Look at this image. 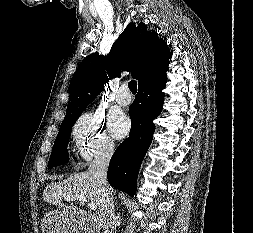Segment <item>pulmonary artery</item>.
Masks as SVG:
<instances>
[{
	"label": "pulmonary artery",
	"instance_id": "e3ab8cb5",
	"mask_svg": "<svg viewBox=\"0 0 253 233\" xmlns=\"http://www.w3.org/2000/svg\"><path fill=\"white\" fill-rule=\"evenodd\" d=\"M115 100L120 106H128L131 103V96L128 93L127 86L123 85L120 87Z\"/></svg>",
	"mask_w": 253,
	"mask_h": 233
}]
</instances>
